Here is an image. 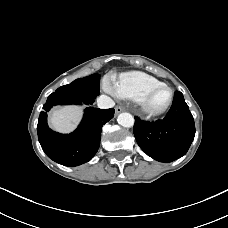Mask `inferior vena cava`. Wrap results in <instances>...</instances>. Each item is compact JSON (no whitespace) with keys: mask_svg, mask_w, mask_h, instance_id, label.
<instances>
[{"mask_svg":"<svg viewBox=\"0 0 228 228\" xmlns=\"http://www.w3.org/2000/svg\"><path fill=\"white\" fill-rule=\"evenodd\" d=\"M97 105L101 109H108L114 107L115 103L110 97L101 95L97 100Z\"/></svg>","mask_w":228,"mask_h":228,"instance_id":"obj_1","label":"inferior vena cava"}]
</instances>
